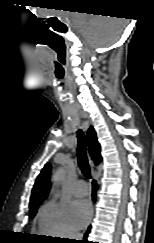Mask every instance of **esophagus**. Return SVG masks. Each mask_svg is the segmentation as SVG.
<instances>
[{
    "instance_id": "34e87169",
    "label": "esophagus",
    "mask_w": 154,
    "mask_h": 243,
    "mask_svg": "<svg viewBox=\"0 0 154 243\" xmlns=\"http://www.w3.org/2000/svg\"><path fill=\"white\" fill-rule=\"evenodd\" d=\"M90 165H91L92 168H94V162H93L92 159H90Z\"/></svg>"
}]
</instances>
